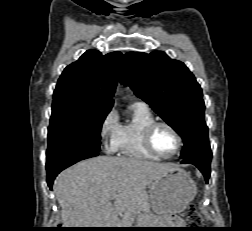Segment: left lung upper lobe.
Listing matches in <instances>:
<instances>
[{
  "label": "left lung upper lobe",
  "mask_w": 252,
  "mask_h": 231,
  "mask_svg": "<svg viewBox=\"0 0 252 231\" xmlns=\"http://www.w3.org/2000/svg\"><path fill=\"white\" fill-rule=\"evenodd\" d=\"M120 81L182 137L181 159L211 152L202 89L184 63L162 51L128 52Z\"/></svg>",
  "instance_id": "1"
}]
</instances>
